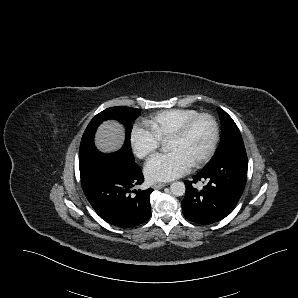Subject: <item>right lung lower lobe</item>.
Returning a JSON list of instances; mask_svg holds the SVG:
<instances>
[{
  "instance_id": "right-lung-lower-lobe-1",
  "label": "right lung lower lobe",
  "mask_w": 298,
  "mask_h": 298,
  "mask_svg": "<svg viewBox=\"0 0 298 298\" xmlns=\"http://www.w3.org/2000/svg\"><path fill=\"white\" fill-rule=\"evenodd\" d=\"M101 157L112 155L102 154ZM80 175L88 201L106 222L129 228L150 218V194L153 189L132 191L135 185L144 181L142 171L135 163H126L117 158L101 160L97 168Z\"/></svg>"
}]
</instances>
